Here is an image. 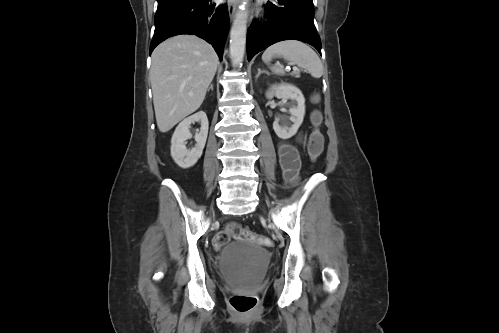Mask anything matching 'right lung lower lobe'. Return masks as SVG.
Returning a JSON list of instances; mask_svg holds the SVG:
<instances>
[{
    "instance_id": "obj_1",
    "label": "right lung lower lobe",
    "mask_w": 499,
    "mask_h": 333,
    "mask_svg": "<svg viewBox=\"0 0 499 333\" xmlns=\"http://www.w3.org/2000/svg\"><path fill=\"white\" fill-rule=\"evenodd\" d=\"M211 0H157L155 31L150 54L165 39L180 35H197L209 42L222 60L223 46L229 26L227 6Z\"/></svg>"
}]
</instances>
